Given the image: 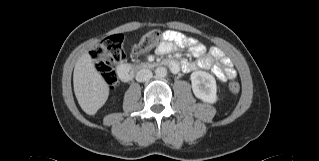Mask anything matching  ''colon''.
<instances>
[{
    "label": "colon",
    "mask_w": 319,
    "mask_h": 161,
    "mask_svg": "<svg viewBox=\"0 0 319 161\" xmlns=\"http://www.w3.org/2000/svg\"><path fill=\"white\" fill-rule=\"evenodd\" d=\"M162 37L159 31L153 30L146 33L139 39L134 47V51L138 55L147 54L151 49L160 44ZM92 57L96 62L97 69L109 87H113L117 83L114 65L124 57L123 40L121 35L109 36L103 44L98 47ZM229 90L233 94H237L240 85L233 80L229 83Z\"/></svg>",
    "instance_id": "colon-1"
}]
</instances>
